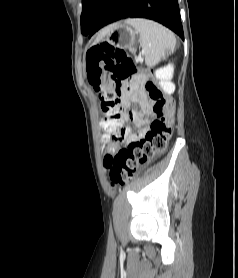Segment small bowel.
<instances>
[{
  "label": "small bowel",
  "instance_id": "small-bowel-1",
  "mask_svg": "<svg viewBox=\"0 0 238 278\" xmlns=\"http://www.w3.org/2000/svg\"><path fill=\"white\" fill-rule=\"evenodd\" d=\"M131 103H137L141 111L129 110ZM121 117L118 130L113 135H105L104 139L110 141L108 149L121 150L120 145L128 142L140 141L147 128L144 127L147 123L144 116L152 115V101L148 98V95L143 88V82L140 78H135L130 82L123 85L122 98H121ZM133 122L141 130L138 135L132 132V129L124 125V122ZM114 155L108 154L107 156Z\"/></svg>",
  "mask_w": 238,
  "mask_h": 278
}]
</instances>
